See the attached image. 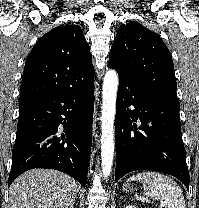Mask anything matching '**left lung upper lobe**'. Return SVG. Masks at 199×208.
<instances>
[{"instance_id":"1","label":"left lung upper lobe","mask_w":199,"mask_h":208,"mask_svg":"<svg viewBox=\"0 0 199 208\" xmlns=\"http://www.w3.org/2000/svg\"><path fill=\"white\" fill-rule=\"evenodd\" d=\"M109 67L152 91L177 98L171 54L156 33L136 22L119 27Z\"/></svg>"}]
</instances>
